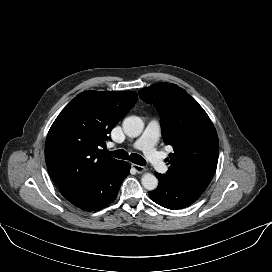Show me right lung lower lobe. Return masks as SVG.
<instances>
[{"label": "right lung lower lobe", "mask_w": 272, "mask_h": 272, "mask_svg": "<svg viewBox=\"0 0 272 272\" xmlns=\"http://www.w3.org/2000/svg\"><path fill=\"white\" fill-rule=\"evenodd\" d=\"M129 171V163L116 160L93 180L62 186L59 191L78 208L89 212L97 211L114 201Z\"/></svg>", "instance_id": "right-lung-lower-lobe-1"}]
</instances>
